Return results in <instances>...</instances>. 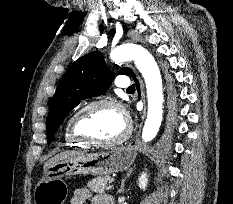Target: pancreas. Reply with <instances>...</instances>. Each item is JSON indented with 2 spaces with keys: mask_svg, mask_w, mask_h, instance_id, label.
I'll return each mask as SVG.
<instances>
[{
  "mask_svg": "<svg viewBox=\"0 0 233 204\" xmlns=\"http://www.w3.org/2000/svg\"><path fill=\"white\" fill-rule=\"evenodd\" d=\"M113 178L110 176H100L92 179L87 183V187L95 193L102 194L105 191L109 190L107 184L112 182Z\"/></svg>",
  "mask_w": 233,
  "mask_h": 204,
  "instance_id": "1",
  "label": "pancreas"
}]
</instances>
